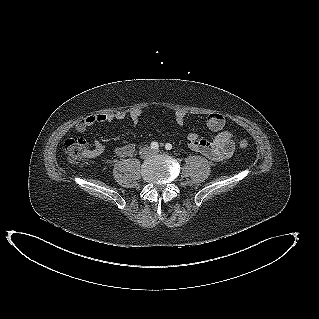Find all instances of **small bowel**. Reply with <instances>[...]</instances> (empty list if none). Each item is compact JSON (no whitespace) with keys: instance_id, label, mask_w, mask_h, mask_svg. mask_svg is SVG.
<instances>
[{"instance_id":"1","label":"small bowel","mask_w":319,"mask_h":319,"mask_svg":"<svg viewBox=\"0 0 319 319\" xmlns=\"http://www.w3.org/2000/svg\"><path fill=\"white\" fill-rule=\"evenodd\" d=\"M127 113L124 111L99 113L87 116L84 120L80 121L75 129L77 132H85L89 127L98 124L123 120L126 118ZM142 111L134 109L129 113V117L135 126H139ZM174 117L179 125H184L187 120V113L183 110L174 111ZM208 127L215 132L212 139L200 137L198 134L191 132L187 136L188 147L198 152L213 161H224L233 155L235 150V143L233 134L225 129V118L219 113H211L206 117ZM105 150L103 142L96 138L94 140V148L92 150L93 156H99ZM136 151L134 143L115 147L112 150V158H125L132 156Z\"/></svg>"}]
</instances>
